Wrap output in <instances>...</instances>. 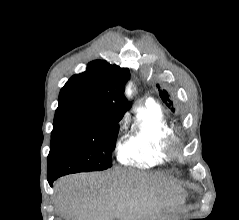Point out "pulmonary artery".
Here are the masks:
<instances>
[{"mask_svg": "<svg viewBox=\"0 0 239 220\" xmlns=\"http://www.w3.org/2000/svg\"><path fill=\"white\" fill-rule=\"evenodd\" d=\"M147 102H149V103H152V102H153V100H152V99H148V100H147Z\"/></svg>", "mask_w": 239, "mask_h": 220, "instance_id": "obj_1", "label": "pulmonary artery"}]
</instances>
